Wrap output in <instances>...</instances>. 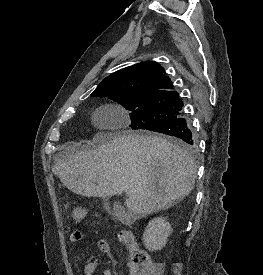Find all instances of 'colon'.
I'll use <instances>...</instances> for the list:
<instances>
[{"mask_svg": "<svg viewBox=\"0 0 263 275\" xmlns=\"http://www.w3.org/2000/svg\"><path fill=\"white\" fill-rule=\"evenodd\" d=\"M85 214V209L82 207H75L71 212L72 219L76 222L83 220ZM119 240L129 250L130 263L141 271L142 275H158L159 265L152 262L147 253L137 246L135 238L129 230L120 231Z\"/></svg>", "mask_w": 263, "mask_h": 275, "instance_id": "obj_1", "label": "colon"}]
</instances>
